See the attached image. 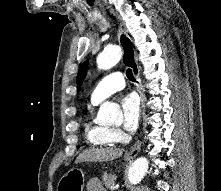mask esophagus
<instances>
[{
	"instance_id": "1",
	"label": "esophagus",
	"mask_w": 221,
	"mask_h": 191,
	"mask_svg": "<svg viewBox=\"0 0 221 191\" xmlns=\"http://www.w3.org/2000/svg\"><path fill=\"white\" fill-rule=\"evenodd\" d=\"M118 39L123 49V61L125 65L131 66L134 77L137 81V90L139 92L140 98L142 103L145 102L146 97L144 94L143 84L140 76V69L136 60V53L133 47L132 40L127 35L126 31L123 29L118 30ZM141 149V142L138 140L133 147L130 149V151L127 152L126 156L130 158H134L137 156Z\"/></svg>"
}]
</instances>
